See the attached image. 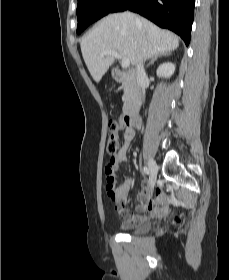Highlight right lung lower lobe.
Here are the masks:
<instances>
[{
	"mask_svg": "<svg viewBox=\"0 0 229 280\" xmlns=\"http://www.w3.org/2000/svg\"><path fill=\"white\" fill-rule=\"evenodd\" d=\"M195 0H118L111 12L130 10L190 41Z\"/></svg>",
	"mask_w": 229,
	"mask_h": 280,
	"instance_id": "1",
	"label": "right lung lower lobe"
}]
</instances>
